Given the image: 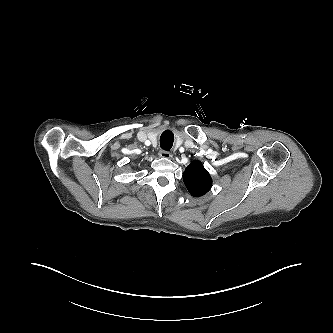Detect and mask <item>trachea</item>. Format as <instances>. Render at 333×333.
Returning a JSON list of instances; mask_svg holds the SVG:
<instances>
[{
    "instance_id": "1",
    "label": "trachea",
    "mask_w": 333,
    "mask_h": 333,
    "mask_svg": "<svg viewBox=\"0 0 333 333\" xmlns=\"http://www.w3.org/2000/svg\"><path fill=\"white\" fill-rule=\"evenodd\" d=\"M173 142H174V136L173 133L171 131H164L161 135V139H160V146L163 150L169 151L172 146H173Z\"/></svg>"
}]
</instances>
